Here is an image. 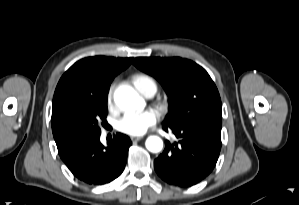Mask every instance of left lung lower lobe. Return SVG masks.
<instances>
[{
	"label": "left lung lower lobe",
	"mask_w": 299,
	"mask_h": 205,
	"mask_svg": "<svg viewBox=\"0 0 299 205\" xmlns=\"http://www.w3.org/2000/svg\"><path fill=\"white\" fill-rule=\"evenodd\" d=\"M221 119L195 124L166 126L179 139L167 141L164 152L154 161L159 177L170 185L189 187L202 181L214 169L221 150Z\"/></svg>",
	"instance_id": "1"
}]
</instances>
